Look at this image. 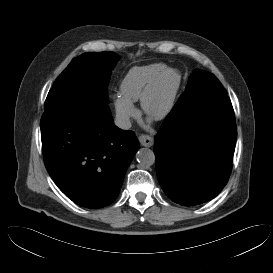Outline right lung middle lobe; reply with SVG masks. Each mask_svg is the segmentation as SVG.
Wrapping results in <instances>:
<instances>
[{
    "label": "right lung middle lobe",
    "mask_w": 273,
    "mask_h": 273,
    "mask_svg": "<svg viewBox=\"0 0 273 273\" xmlns=\"http://www.w3.org/2000/svg\"><path fill=\"white\" fill-rule=\"evenodd\" d=\"M118 60L119 55L113 52L84 53L74 58L50 89L44 110L81 96H92L108 103V83Z\"/></svg>",
    "instance_id": "right-lung-middle-lobe-1"
}]
</instances>
